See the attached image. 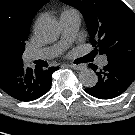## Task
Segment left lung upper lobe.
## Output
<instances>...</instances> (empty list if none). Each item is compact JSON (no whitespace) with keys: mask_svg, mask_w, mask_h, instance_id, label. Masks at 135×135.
Here are the masks:
<instances>
[{"mask_svg":"<svg viewBox=\"0 0 135 135\" xmlns=\"http://www.w3.org/2000/svg\"><path fill=\"white\" fill-rule=\"evenodd\" d=\"M84 16L95 51L135 70V14L121 0H62Z\"/></svg>","mask_w":135,"mask_h":135,"instance_id":"5c2ea615","label":"left lung upper lobe"}]
</instances>
